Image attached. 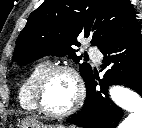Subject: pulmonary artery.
<instances>
[{
	"label": "pulmonary artery",
	"instance_id": "obj_1",
	"mask_svg": "<svg viewBox=\"0 0 142 128\" xmlns=\"http://www.w3.org/2000/svg\"><path fill=\"white\" fill-rule=\"evenodd\" d=\"M88 53L89 55L93 58V60L95 62H99L100 61V58H101V53L99 52V50H97L96 48L94 47H90L88 49Z\"/></svg>",
	"mask_w": 142,
	"mask_h": 128
}]
</instances>
